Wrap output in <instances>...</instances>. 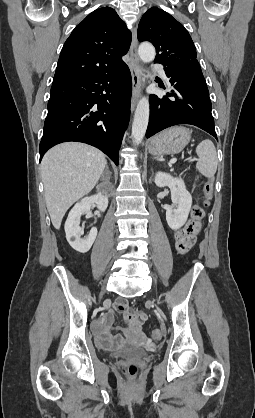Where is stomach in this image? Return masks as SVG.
I'll return each mask as SVG.
<instances>
[{"mask_svg": "<svg viewBox=\"0 0 255 418\" xmlns=\"http://www.w3.org/2000/svg\"><path fill=\"white\" fill-rule=\"evenodd\" d=\"M191 133L189 128L183 126L166 129L150 140L149 152L156 156L179 153L190 142Z\"/></svg>", "mask_w": 255, "mask_h": 418, "instance_id": "0dacf381", "label": "stomach"}]
</instances>
